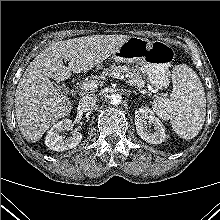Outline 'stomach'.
<instances>
[{"label":"stomach","instance_id":"0dacf381","mask_svg":"<svg viewBox=\"0 0 220 220\" xmlns=\"http://www.w3.org/2000/svg\"><path fill=\"white\" fill-rule=\"evenodd\" d=\"M117 62L135 63L156 88H165L170 83L169 67L175 58L172 47L163 41H149L130 37L113 55Z\"/></svg>","mask_w":220,"mask_h":220}]
</instances>
